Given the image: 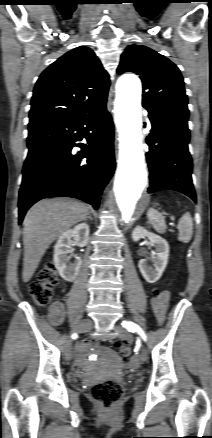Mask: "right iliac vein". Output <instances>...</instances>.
<instances>
[{
  "instance_id": "63e3f726",
  "label": "right iliac vein",
  "mask_w": 212,
  "mask_h": 438,
  "mask_svg": "<svg viewBox=\"0 0 212 438\" xmlns=\"http://www.w3.org/2000/svg\"><path fill=\"white\" fill-rule=\"evenodd\" d=\"M92 328V322L91 320H83L81 321L73 330V332L75 333H82V332H86L89 331ZM65 356L68 360H70L73 356V349H72V345L71 342L68 341L67 345H66V349H65Z\"/></svg>"
}]
</instances>
